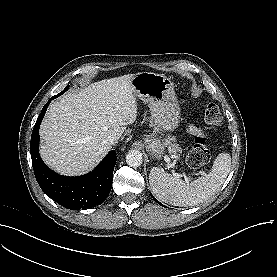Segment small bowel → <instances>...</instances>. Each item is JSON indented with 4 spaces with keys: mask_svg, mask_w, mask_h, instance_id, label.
<instances>
[{
    "mask_svg": "<svg viewBox=\"0 0 277 277\" xmlns=\"http://www.w3.org/2000/svg\"><path fill=\"white\" fill-rule=\"evenodd\" d=\"M187 132L190 135L197 136L200 135L202 131L197 125L192 124L187 127Z\"/></svg>",
    "mask_w": 277,
    "mask_h": 277,
    "instance_id": "obj_1",
    "label": "small bowel"
}]
</instances>
